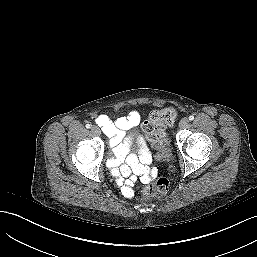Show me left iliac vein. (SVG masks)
I'll return each mask as SVG.
<instances>
[{"mask_svg":"<svg viewBox=\"0 0 257 257\" xmlns=\"http://www.w3.org/2000/svg\"><path fill=\"white\" fill-rule=\"evenodd\" d=\"M189 124V119L188 118H182L179 122V127L180 128H186Z\"/></svg>","mask_w":257,"mask_h":257,"instance_id":"4c4485c4","label":"left iliac vein"}]
</instances>
